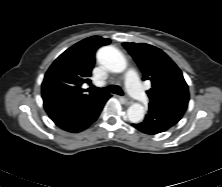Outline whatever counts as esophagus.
Instances as JSON below:
<instances>
[{
  "instance_id": "34e87169",
  "label": "esophagus",
  "mask_w": 222,
  "mask_h": 187,
  "mask_svg": "<svg viewBox=\"0 0 222 187\" xmlns=\"http://www.w3.org/2000/svg\"><path fill=\"white\" fill-rule=\"evenodd\" d=\"M120 100L122 103L126 104V105H130L132 103V101L128 98L125 97H120Z\"/></svg>"
}]
</instances>
